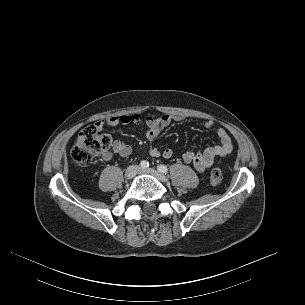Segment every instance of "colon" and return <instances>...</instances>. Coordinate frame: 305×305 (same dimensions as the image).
Here are the masks:
<instances>
[{"mask_svg":"<svg viewBox=\"0 0 305 305\" xmlns=\"http://www.w3.org/2000/svg\"><path fill=\"white\" fill-rule=\"evenodd\" d=\"M111 146V138L108 134L101 133L100 130L90 125L83 128L76 139L71 151L72 161L78 166H86L102 152L108 151ZM223 179L220 169L215 168L211 171L210 182L214 185L219 184Z\"/></svg>","mask_w":305,"mask_h":305,"instance_id":"colon-1","label":"colon"}]
</instances>
